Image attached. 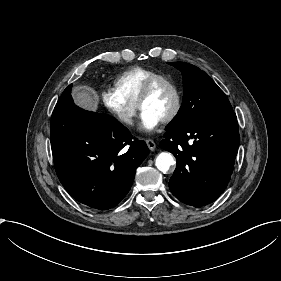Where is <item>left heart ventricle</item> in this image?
<instances>
[{"label": "left heart ventricle", "mask_w": 281, "mask_h": 281, "mask_svg": "<svg viewBox=\"0 0 281 281\" xmlns=\"http://www.w3.org/2000/svg\"><path fill=\"white\" fill-rule=\"evenodd\" d=\"M174 104V94L165 84L159 85L151 96L142 104L141 110L162 122L170 113Z\"/></svg>", "instance_id": "obj_1"}]
</instances>
